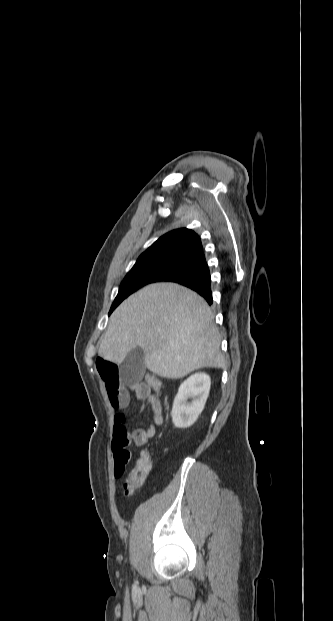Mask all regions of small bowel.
<instances>
[{"instance_id":"1","label":"small bowel","mask_w":333,"mask_h":621,"mask_svg":"<svg viewBox=\"0 0 333 621\" xmlns=\"http://www.w3.org/2000/svg\"><path fill=\"white\" fill-rule=\"evenodd\" d=\"M96 367L104 383L110 405L116 410L128 407L130 403V393L120 380L118 365L109 359L98 357L96 360ZM131 390H133L136 396L143 402L139 411L143 410L145 404L150 406L152 410V419L146 429L139 428L130 433L127 429L124 414L121 412L115 414L112 440L114 472H124L126 465L130 461L132 448L145 444L155 435L156 429L163 424L161 402L158 394L151 389L148 382L145 380L133 384Z\"/></svg>"}]
</instances>
